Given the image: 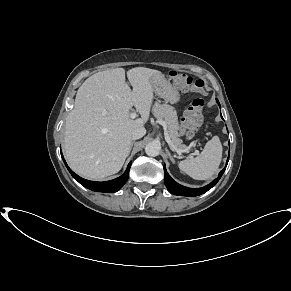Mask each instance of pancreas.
Returning a JSON list of instances; mask_svg holds the SVG:
<instances>
[{
    "mask_svg": "<svg viewBox=\"0 0 291 291\" xmlns=\"http://www.w3.org/2000/svg\"><path fill=\"white\" fill-rule=\"evenodd\" d=\"M153 115L158 120H163L168 128V134L172 143L180 149H185V145L182 144V140L179 138L178 133V118L174 107L168 104H161L156 102L153 106Z\"/></svg>",
    "mask_w": 291,
    "mask_h": 291,
    "instance_id": "1",
    "label": "pancreas"
}]
</instances>
